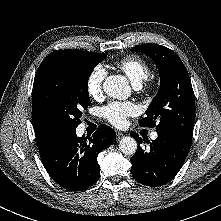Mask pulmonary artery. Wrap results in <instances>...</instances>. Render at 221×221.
Here are the masks:
<instances>
[{
  "label": "pulmonary artery",
  "instance_id": "obj_1",
  "mask_svg": "<svg viewBox=\"0 0 221 221\" xmlns=\"http://www.w3.org/2000/svg\"><path fill=\"white\" fill-rule=\"evenodd\" d=\"M157 137H158V134H157L156 132H152V133L150 134V138H151L152 140L157 139Z\"/></svg>",
  "mask_w": 221,
  "mask_h": 221
}]
</instances>
